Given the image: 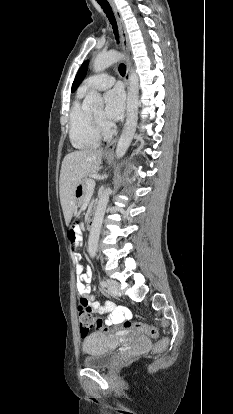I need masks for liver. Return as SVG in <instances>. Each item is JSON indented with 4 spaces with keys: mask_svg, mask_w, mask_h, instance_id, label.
Segmentation results:
<instances>
[{
    "mask_svg": "<svg viewBox=\"0 0 233 414\" xmlns=\"http://www.w3.org/2000/svg\"><path fill=\"white\" fill-rule=\"evenodd\" d=\"M102 149H83L67 154L62 162L59 188L60 201L66 224H69L75 209V190L83 179L100 169Z\"/></svg>",
    "mask_w": 233,
    "mask_h": 414,
    "instance_id": "liver-1",
    "label": "liver"
}]
</instances>
